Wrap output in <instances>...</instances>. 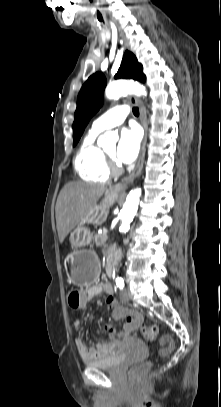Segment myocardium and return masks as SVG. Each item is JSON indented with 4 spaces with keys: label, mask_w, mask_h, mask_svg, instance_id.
I'll return each instance as SVG.
<instances>
[{
    "label": "myocardium",
    "mask_w": 221,
    "mask_h": 407,
    "mask_svg": "<svg viewBox=\"0 0 221 407\" xmlns=\"http://www.w3.org/2000/svg\"><path fill=\"white\" fill-rule=\"evenodd\" d=\"M105 155V159L109 168V171L113 174L119 173L120 172V168L119 166L116 164L115 160L113 157L109 156L107 153H104Z\"/></svg>",
    "instance_id": "myocardium-1"
}]
</instances>
